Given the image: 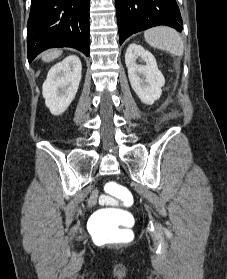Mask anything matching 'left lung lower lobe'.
<instances>
[{"mask_svg": "<svg viewBox=\"0 0 227 279\" xmlns=\"http://www.w3.org/2000/svg\"><path fill=\"white\" fill-rule=\"evenodd\" d=\"M119 41L134 33L167 25L182 31V18L176 0H115Z\"/></svg>", "mask_w": 227, "mask_h": 279, "instance_id": "left-lung-lower-lobe-1", "label": "left lung lower lobe"}]
</instances>
